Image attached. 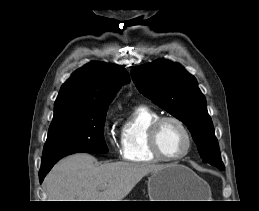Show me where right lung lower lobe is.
Returning <instances> with one entry per match:
<instances>
[{
	"label": "right lung lower lobe",
	"mask_w": 259,
	"mask_h": 211,
	"mask_svg": "<svg viewBox=\"0 0 259 211\" xmlns=\"http://www.w3.org/2000/svg\"><path fill=\"white\" fill-rule=\"evenodd\" d=\"M61 158L62 157L57 158V159H55V160H53L49 163H46V164H41V169H40V172H39L40 182L43 181L44 177L50 171V169L53 167V165Z\"/></svg>",
	"instance_id": "1"
}]
</instances>
